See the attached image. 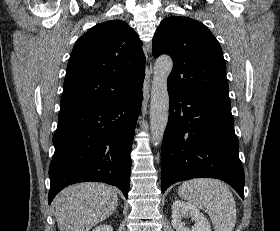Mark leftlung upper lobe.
<instances>
[{
    "instance_id": "left-lung-upper-lobe-1",
    "label": "left lung upper lobe",
    "mask_w": 280,
    "mask_h": 231,
    "mask_svg": "<svg viewBox=\"0 0 280 231\" xmlns=\"http://www.w3.org/2000/svg\"><path fill=\"white\" fill-rule=\"evenodd\" d=\"M152 53L155 58L161 54L172 57L168 88L230 103L223 53L204 24L187 17L163 19L153 38Z\"/></svg>"
}]
</instances>
